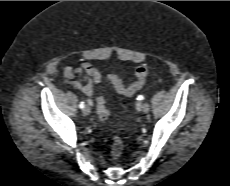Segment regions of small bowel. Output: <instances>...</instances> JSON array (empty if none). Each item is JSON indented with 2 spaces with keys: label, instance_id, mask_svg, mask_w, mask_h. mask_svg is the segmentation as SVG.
I'll list each match as a JSON object with an SVG mask.
<instances>
[{
  "label": "small bowel",
  "instance_id": "1",
  "mask_svg": "<svg viewBox=\"0 0 230 186\" xmlns=\"http://www.w3.org/2000/svg\"><path fill=\"white\" fill-rule=\"evenodd\" d=\"M64 82L81 91L87 97L94 94V86L101 83L102 75L98 68L89 62H83L78 68L65 66L63 68ZM116 91L119 89L126 90V87L120 79V86H114ZM134 94V93H133ZM130 94L129 96L133 95ZM102 97H99L100 99Z\"/></svg>",
  "mask_w": 230,
  "mask_h": 186
}]
</instances>
